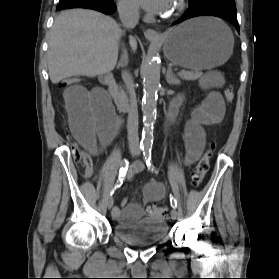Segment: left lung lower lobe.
I'll return each instance as SVG.
<instances>
[{
	"label": "left lung lower lobe",
	"mask_w": 279,
	"mask_h": 279,
	"mask_svg": "<svg viewBox=\"0 0 279 279\" xmlns=\"http://www.w3.org/2000/svg\"><path fill=\"white\" fill-rule=\"evenodd\" d=\"M189 5V10L173 25L192 17L209 15L229 21L240 32L234 0H189Z\"/></svg>",
	"instance_id": "0a47b994"
}]
</instances>
